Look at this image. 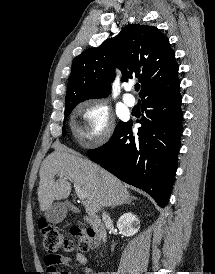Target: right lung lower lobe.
Here are the masks:
<instances>
[{"mask_svg":"<svg viewBox=\"0 0 215 274\" xmlns=\"http://www.w3.org/2000/svg\"><path fill=\"white\" fill-rule=\"evenodd\" d=\"M179 86L142 101V126L132 133V121L121 122L111 139L89 157L122 181L146 191L165 207L175 179L182 135Z\"/></svg>","mask_w":215,"mask_h":274,"instance_id":"right-lung-lower-lobe-1","label":"right lung lower lobe"}]
</instances>
